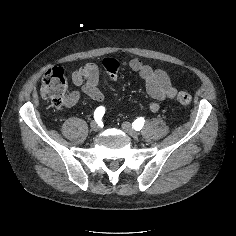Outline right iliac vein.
Returning a JSON list of instances; mask_svg holds the SVG:
<instances>
[{"instance_id": "63e3f726", "label": "right iliac vein", "mask_w": 236, "mask_h": 236, "mask_svg": "<svg viewBox=\"0 0 236 236\" xmlns=\"http://www.w3.org/2000/svg\"><path fill=\"white\" fill-rule=\"evenodd\" d=\"M90 127L93 131L97 132L100 130V126L96 121H92Z\"/></svg>"}]
</instances>
